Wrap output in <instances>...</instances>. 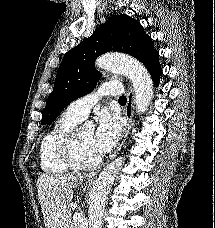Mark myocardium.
<instances>
[{
    "mask_svg": "<svg viewBox=\"0 0 215 228\" xmlns=\"http://www.w3.org/2000/svg\"><path fill=\"white\" fill-rule=\"evenodd\" d=\"M81 128L82 126H75L60 139L58 153L61 159L71 168L92 170L101 165L102 157L90 163H84L79 160L76 154V142Z\"/></svg>",
    "mask_w": 215,
    "mask_h": 228,
    "instance_id": "obj_1",
    "label": "myocardium"
}]
</instances>
